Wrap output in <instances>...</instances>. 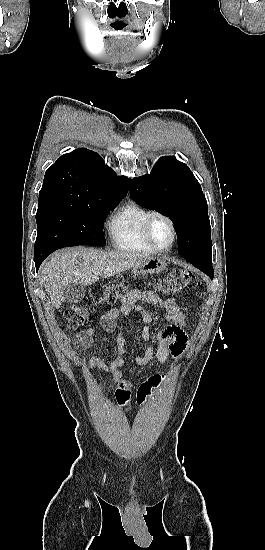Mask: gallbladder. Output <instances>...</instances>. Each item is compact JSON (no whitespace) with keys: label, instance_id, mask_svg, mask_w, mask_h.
<instances>
[{"label":"gallbladder","instance_id":"obj_1","mask_svg":"<svg viewBox=\"0 0 265 550\" xmlns=\"http://www.w3.org/2000/svg\"><path fill=\"white\" fill-rule=\"evenodd\" d=\"M86 290L83 285L70 283L64 287V301L69 304H74L83 300Z\"/></svg>","mask_w":265,"mask_h":550}]
</instances>
